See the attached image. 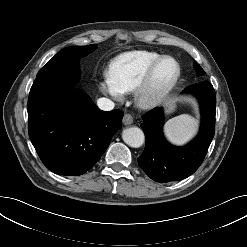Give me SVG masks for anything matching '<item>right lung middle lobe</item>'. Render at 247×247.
Segmentation results:
<instances>
[{
	"instance_id": "obj_1",
	"label": "right lung middle lobe",
	"mask_w": 247,
	"mask_h": 247,
	"mask_svg": "<svg viewBox=\"0 0 247 247\" xmlns=\"http://www.w3.org/2000/svg\"><path fill=\"white\" fill-rule=\"evenodd\" d=\"M96 45L66 47L38 72L32 87H70L79 77L78 61L91 53Z\"/></svg>"
}]
</instances>
